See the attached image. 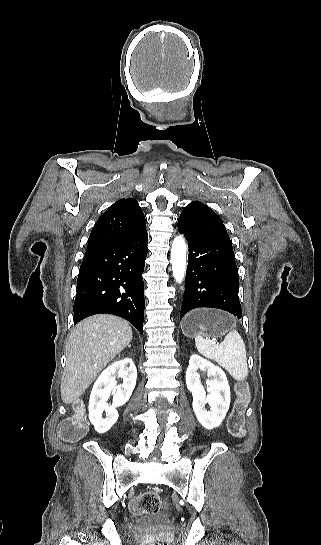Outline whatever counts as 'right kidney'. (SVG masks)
I'll use <instances>...</instances> for the list:
<instances>
[{
    "mask_svg": "<svg viewBox=\"0 0 321 545\" xmlns=\"http://www.w3.org/2000/svg\"><path fill=\"white\" fill-rule=\"evenodd\" d=\"M123 377L122 387H115L116 379ZM137 369L132 359H122L112 363L107 367L100 377H98L89 401V419L94 425L97 433H106L114 423H116L119 415L116 407H122L129 401L136 385ZM109 395H113L112 405H107L106 401ZM103 411H106V417L103 419Z\"/></svg>",
    "mask_w": 321,
    "mask_h": 545,
    "instance_id": "ca27d5eb",
    "label": "right kidney"
}]
</instances>
